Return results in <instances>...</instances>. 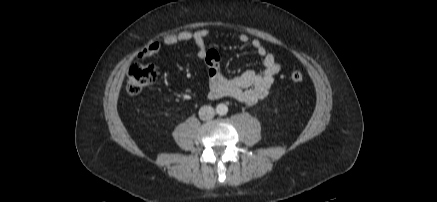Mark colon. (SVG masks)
<instances>
[{"mask_svg": "<svg viewBox=\"0 0 437 202\" xmlns=\"http://www.w3.org/2000/svg\"><path fill=\"white\" fill-rule=\"evenodd\" d=\"M158 76L157 68L152 64L136 63L128 71L126 89L130 95H138L145 88L152 85ZM293 82L303 81L304 76L300 71H293L290 75Z\"/></svg>", "mask_w": 437, "mask_h": 202, "instance_id": "5ec220e1", "label": "colon"}]
</instances>
